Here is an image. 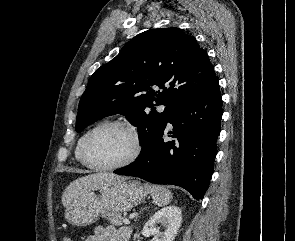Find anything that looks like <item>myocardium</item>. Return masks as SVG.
Returning <instances> with one entry per match:
<instances>
[{"mask_svg": "<svg viewBox=\"0 0 295 241\" xmlns=\"http://www.w3.org/2000/svg\"><path fill=\"white\" fill-rule=\"evenodd\" d=\"M111 127L123 128L131 134L133 139V150L131 154L128 156V158L116 164L100 165V164L93 163L90 160L88 155V148H89L90 142L92 141V139L97 133ZM141 151H142V140L136 128L128 122L113 120V121H105L98 124L87 134L86 138L84 139L82 143L80 156H81L82 163L90 169L97 170V171H113V170L124 168L132 164L139 157V155L141 154Z\"/></svg>", "mask_w": 295, "mask_h": 241, "instance_id": "myocardium-1", "label": "myocardium"}]
</instances>
